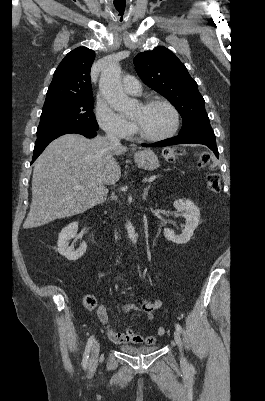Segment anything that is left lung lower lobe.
Masks as SVG:
<instances>
[{
    "label": "left lung lower lobe",
    "mask_w": 265,
    "mask_h": 401,
    "mask_svg": "<svg viewBox=\"0 0 265 401\" xmlns=\"http://www.w3.org/2000/svg\"><path fill=\"white\" fill-rule=\"evenodd\" d=\"M188 143L206 145L215 153L217 157L219 156L218 149L216 146L215 134L210 124L200 126L196 129L189 130L184 133H179L178 136L171 139H166L153 144H142V146L164 147L169 145L188 144Z\"/></svg>",
    "instance_id": "0a47b994"
}]
</instances>
